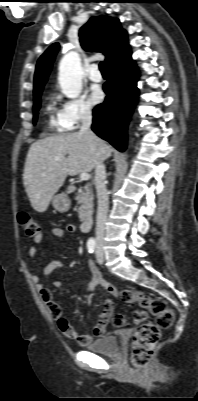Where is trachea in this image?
<instances>
[{
    "label": "trachea",
    "instance_id": "1",
    "mask_svg": "<svg viewBox=\"0 0 198 401\" xmlns=\"http://www.w3.org/2000/svg\"><path fill=\"white\" fill-rule=\"evenodd\" d=\"M99 69H100V71H101L102 73H107V68H106V65H105L104 62H101V63L99 64Z\"/></svg>",
    "mask_w": 198,
    "mask_h": 401
}]
</instances>
